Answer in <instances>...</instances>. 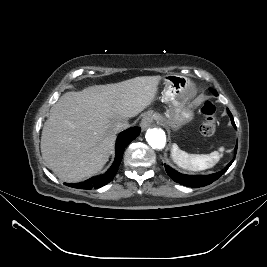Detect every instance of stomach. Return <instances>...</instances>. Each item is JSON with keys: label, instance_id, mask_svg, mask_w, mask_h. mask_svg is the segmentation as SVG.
<instances>
[{"label": "stomach", "instance_id": "obj_1", "mask_svg": "<svg viewBox=\"0 0 267 267\" xmlns=\"http://www.w3.org/2000/svg\"><path fill=\"white\" fill-rule=\"evenodd\" d=\"M165 89L163 94V100L174 101L179 97L187 100L190 96V80L181 75L170 74L164 77ZM177 104V103H176ZM193 119V112L185 106V103H181L177 108V121L179 123H186Z\"/></svg>", "mask_w": 267, "mask_h": 267}]
</instances>
